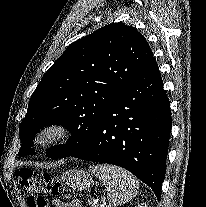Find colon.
Here are the masks:
<instances>
[{
    "label": "colon",
    "mask_w": 206,
    "mask_h": 207,
    "mask_svg": "<svg viewBox=\"0 0 206 207\" xmlns=\"http://www.w3.org/2000/svg\"><path fill=\"white\" fill-rule=\"evenodd\" d=\"M22 190L28 195L29 207H49L46 196H59L64 187L50 173H41L21 167L16 170Z\"/></svg>",
    "instance_id": "5ec220e1"
}]
</instances>
